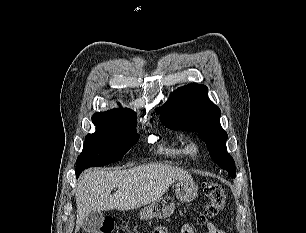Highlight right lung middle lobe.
<instances>
[{
	"label": "right lung middle lobe",
	"mask_w": 306,
	"mask_h": 233,
	"mask_svg": "<svg viewBox=\"0 0 306 233\" xmlns=\"http://www.w3.org/2000/svg\"><path fill=\"white\" fill-rule=\"evenodd\" d=\"M92 121L97 130L85 138L83 151L76 161V176L86 168L121 160L139 138L134 116L95 113Z\"/></svg>",
	"instance_id": "obj_1"
}]
</instances>
